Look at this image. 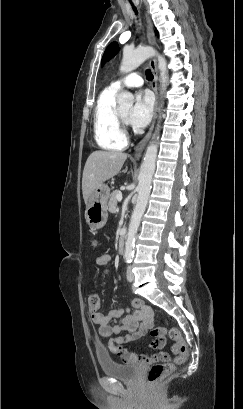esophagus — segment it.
I'll list each match as a JSON object with an SVG mask.
<instances>
[{"instance_id":"1","label":"esophagus","mask_w":243,"mask_h":409,"mask_svg":"<svg viewBox=\"0 0 243 409\" xmlns=\"http://www.w3.org/2000/svg\"><path fill=\"white\" fill-rule=\"evenodd\" d=\"M145 17H146V37H147V40H148L150 45L155 46L156 45V40H155V37H154L152 22H151L149 16L147 15V13H145ZM149 64H150V67H151V69L153 71V75H154V78H153V81H152V89L154 90L155 97H156L154 117H153V121H152V124H151V127H150L149 131L147 132L145 137L135 147V152H134V156H133V159H135V160L138 159V157L141 155L142 151L144 150L145 146L147 145L148 141L150 140L152 132H153L155 120H156V112H157V105H158V70H157L156 59L154 57L151 58Z\"/></svg>"}]
</instances>
